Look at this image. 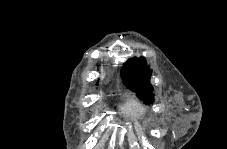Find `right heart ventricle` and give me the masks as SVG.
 Listing matches in <instances>:
<instances>
[{
  "label": "right heart ventricle",
  "instance_id": "1",
  "mask_svg": "<svg viewBox=\"0 0 227 149\" xmlns=\"http://www.w3.org/2000/svg\"><path fill=\"white\" fill-rule=\"evenodd\" d=\"M126 119H141L145 114L144 107L133 98H128L120 108Z\"/></svg>",
  "mask_w": 227,
  "mask_h": 149
}]
</instances>
